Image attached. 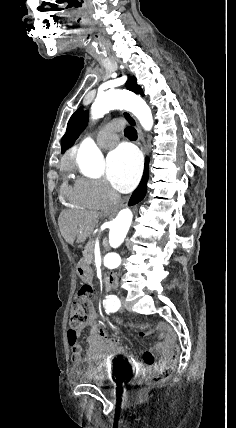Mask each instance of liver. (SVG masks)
I'll return each mask as SVG.
<instances>
[{
	"mask_svg": "<svg viewBox=\"0 0 236 428\" xmlns=\"http://www.w3.org/2000/svg\"><path fill=\"white\" fill-rule=\"evenodd\" d=\"M98 216L97 212H61L58 226L64 240L68 244L85 242L98 224Z\"/></svg>",
	"mask_w": 236,
	"mask_h": 428,
	"instance_id": "1",
	"label": "liver"
}]
</instances>
